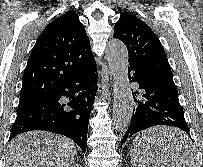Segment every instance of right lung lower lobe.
<instances>
[{
	"mask_svg": "<svg viewBox=\"0 0 203 167\" xmlns=\"http://www.w3.org/2000/svg\"><path fill=\"white\" fill-rule=\"evenodd\" d=\"M95 61L71 75L47 99L18 106L9 140L44 130L73 139L85 153L89 115L96 94ZM63 97L70 99L64 102Z\"/></svg>",
	"mask_w": 203,
	"mask_h": 167,
	"instance_id": "right-lung-lower-lobe-1",
	"label": "right lung lower lobe"
}]
</instances>
